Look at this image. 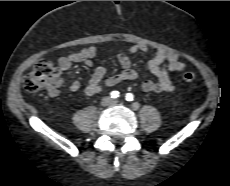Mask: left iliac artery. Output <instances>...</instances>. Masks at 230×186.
<instances>
[{
  "label": "left iliac artery",
  "instance_id": "44dca946",
  "mask_svg": "<svg viewBox=\"0 0 230 186\" xmlns=\"http://www.w3.org/2000/svg\"><path fill=\"white\" fill-rule=\"evenodd\" d=\"M125 99L127 101H133L134 95L132 93H127L126 96H125Z\"/></svg>",
  "mask_w": 230,
  "mask_h": 186
}]
</instances>
